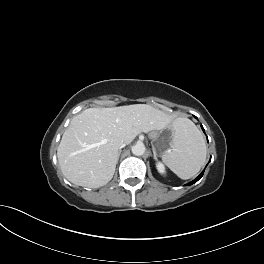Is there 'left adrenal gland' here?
<instances>
[{
    "instance_id": "1",
    "label": "left adrenal gland",
    "mask_w": 264,
    "mask_h": 264,
    "mask_svg": "<svg viewBox=\"0 0 264 264\" xmlns=\"http://www.w3.org/2000/svg\"><path fill=\"white\" fill-rule=\"evenodd\" d=\"M152 150H153V157L155 160H157V153H156V149L154 146H152Z\"/></svg>"
}]
</instances>
